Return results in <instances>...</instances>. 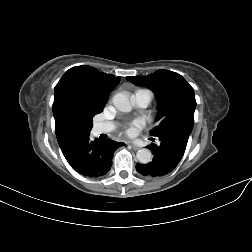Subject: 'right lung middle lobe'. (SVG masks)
<instances>
[{
  "label": "right lung middle lobe",
  "instance_id": "dd1d6c3e",
  "mask_svg": "<svg viewBox=\"0 0 252 252\" xmlns=\"http://www.w3.org/2000/svg\"><path fill=\"white\" fill-rule=\"evenodd\" d=\"M97 113H90L86 111L77 112V123L83 134H89L92 128V118Z\"/></svg>",
  "mask_w": 252,
  "mask_h": 252
}]
</instances>
